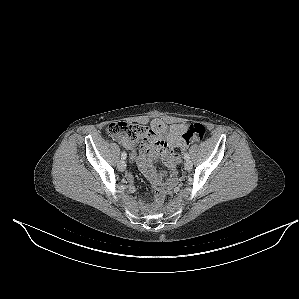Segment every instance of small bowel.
<instances>
[{
  "label": "small bowel",
  "instance_id": "1",
  "mask_svg": "<svg viewBox=\"0 0 299 299\" xmlns=\"http://www.w3.org/2000/svg\"><path fill=\"white\" fill-rule=\"evenodd\" d=\"M188 128L184 123L166 124L163 120L155 118L151 121L148 134L143 138L138 151L135 150V143L121 139L124 147L131 151L130 157L135 160L154 188H159L163 184L165 174H158L155 170V163L161 160L170 170L168 178L173 181L175 178V167L179 162V157L174 149H185L188 146L183 139V135ZM131 180V176H127ZM142 207H146L144 201H140Z\"/></svg>",
  "mask_w": 299,
  "mask_h": 299
}]
</instances>
